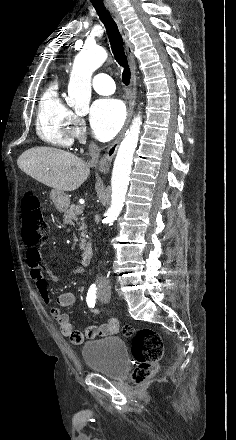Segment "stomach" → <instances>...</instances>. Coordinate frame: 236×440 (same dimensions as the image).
<instances>
[{
    "label": "stomach",
    "mask_w": 236,
    "mask_h": 440,
    "mask_svg": "<svg viewBox=\"0 0 236 440\" xmlns=\"http://www.w3.org/2000/svg\"><path fill=\"white\" fill-rule=\"evenodd\" d=\"M50 199L54 203L56 209L59 212H65L67 211L69 207V197L64 191L53 189L50 193Z\"/></svg>",
    "instance_id": "obj_1"
}]
</instances>
